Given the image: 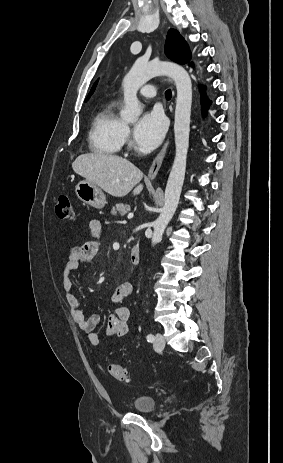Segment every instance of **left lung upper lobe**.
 <instances>
[{
	"mask_svg": "<svg viewBox=\"0 0 283 463\" xmlns=\"http://www.w3.org/2000/svg\"><path fill=\"white\" fill-rule=\"evenodd\" d=\"M165 54L171 60L186 64L191 59L189 47L177 30L170 29L165 42Z\"/></svg>",
	"mask_w": 283,
	"mask_h": 463,
	"instance_id": "left-lung-upper-lobe-1",
	"label": "left lung upper lobe"
}]
</instances>
